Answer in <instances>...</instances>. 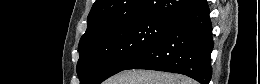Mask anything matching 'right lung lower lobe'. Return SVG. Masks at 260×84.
Segmentation results:
<instances>
[{
  "label": "right lung lower lobe",
  "instance_id": "right-lung-lower-lobe-1",
  "mask_svg": "<svg viewBox=\"0 0 260 84\" xmlns=\"http://www.w3.org/2000/svg\"><path fill=\"white\" fill-rule=\"evenodd\" d=\"M213 46L209 7L204 0L174 19L156 42L126 69L179 73L209 84Z\"/></svg>",
  "mask_w": 260,
  "mask_h": 84
}]
</instances>
